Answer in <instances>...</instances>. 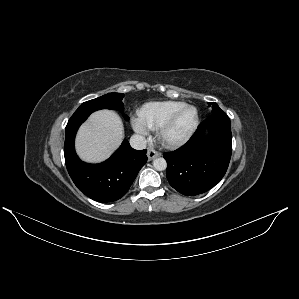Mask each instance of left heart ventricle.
<instances>
[{
	"label": "left heart ventricle",
	"mask_w": 299,
	"mask_h": 299,
	"mask_svg": "<svg viewBox=\"0 0 299 299\" xmlns=\"http://www.w3.org/2000/svg\"><path fill=\"white\" fill-rule=\"evenodd\" d=\"M196 119V111L192 108L183 111L169 131L171 137H179L186 133Z\"/></svg>",
	"instance_id": "obj_1"
}]
</instances>
